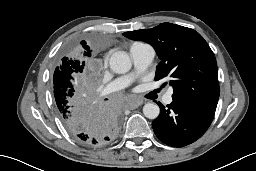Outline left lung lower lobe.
I'll return each mask as SVG.
<instances>
[{
	"label": "left lung lower lobe",
	"mask_w": 256,
	"mask_h": 171,
	"mask_svg": "<svg viewBox=\"0 0 256 171\" xmlns=\"http://www.w3.org/2000/svg\"><path fill=\"white\" fill-rule=\"evenodd\" d=\"M152 122L154 133L163 143L183 147L200 138L210 126L217 103L190 96H172Z\"/></svg>",
	"instance_id": "0a47b994"
}]
</instances>
